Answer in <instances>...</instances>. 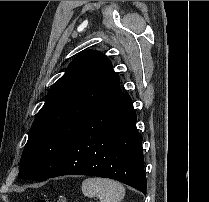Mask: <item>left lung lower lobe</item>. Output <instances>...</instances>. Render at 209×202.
<instances>
[{
    "label": "left lung lower lobe",
    "instance_id": "1",
    "mask_svg": "<svg viewBox=\"0 0 209 202\" xmlns=\"http://www.w3.org/2000/svg\"><path fill=\"white\" fill-rule=\"evenodd\" d=\"M136 119L127 93L105 104L84 122L49 178L93 175L118 180L146 194Z\"/></svg>",
    "mask_w": 209,
    "mask_h": 202
}]
</instances>
